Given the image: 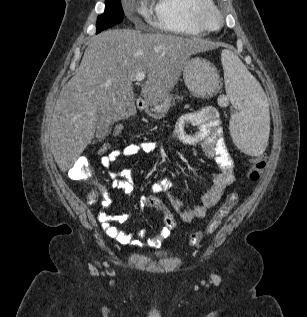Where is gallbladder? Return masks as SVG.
Here are the masks:
<instances>
[{
  "mask_svg": "<svg viewBox=\"0 0 307 317\" xmlns=\"http://www.w3.org/2000/svg\"><path fill=\"white\" fill-rule=\"evenodd\" d=\"M110 131V122L103 112L98 114L96 137L101 141Z\"/></svg>",
  "mask_w": 307,
  "mask_h": 317,
  "instance_id": "bac80fb5",
  "label": "gallbladder"
}]
</instances>
